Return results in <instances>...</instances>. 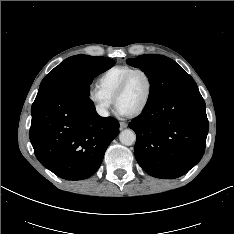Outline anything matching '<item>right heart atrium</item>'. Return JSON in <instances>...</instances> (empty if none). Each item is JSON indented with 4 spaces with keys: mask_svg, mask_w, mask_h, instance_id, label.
Instances as JSON below:
<instances>
[{
    "mask_svg": "<svg viewBox=\"0 0 234 234\" xmlns=\"http://www.w3.org/2000/svg\"><path fill=\"white\" fill-rule=\"evenodd\" d=\"M87 98L99 115L103 117H107L109 115L113 101L98 85H90L88 87Z\"/></svg>",
    "mask_w": 234,
    "mask_h": 234,
    "instance_id": "right-heart-atrium-1",
    "label": "right heart atrium"
}]
</instances>
